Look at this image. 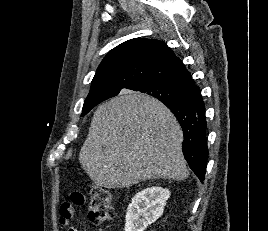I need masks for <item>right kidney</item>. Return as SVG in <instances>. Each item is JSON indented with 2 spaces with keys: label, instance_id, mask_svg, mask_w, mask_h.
<instances>
[{
  "label": "right kidney",
  "instance_id": "obj_1",
  "mask_svg": "<svg viewBox=\"0 0 268 231\" xmlns=\"http://www.w3.org/2000/svg\"><path fill=\"white\" fill-rule=\"evenodd\" d=\"M168 189L153 186L137 193L128 205L125 217V231H144L163 214Z\"/></svg>",
  "mask_w": 268,
  "mask_h": 231
}]
</instances>
